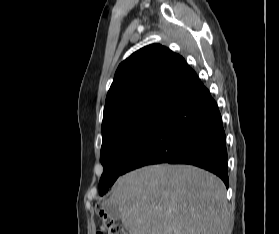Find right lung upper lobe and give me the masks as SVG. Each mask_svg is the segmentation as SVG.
<instances>
[{"label":"right lung upper lobe","instance_id":"1","mask_svg":"<svg viewBox=\"0 0 279 234\" xmlns=\"http://www.w3.org/2000/svg\"><path fill=\"white\" fill-rule=\"evenodd\" d=\"M198 80L184 58L167 47H143L118 66L106 97L103 123L145 106L169 107Z\"/></svg>","mask_w":279,"mask_h":234}]
</instances>
